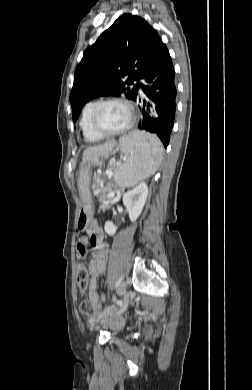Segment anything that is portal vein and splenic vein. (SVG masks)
<instances>
[{
  "label": "portal vein and splenic vein",
  "mask_w": 252,
  "mask_h": 390,
  "mask_svg": "<svg viewBox=\"0 0 252 390\" xmlns=\"http://www.w3.org/2000/svg\"><path fill=\"white\" fill-rule=\"evenodd\" d=\"M121 163V161L117 162V165H119ZM108 174H111L112 172L111 171H107ZM114 195V193H110L108 195V198L112 197Z\"/></svg>",
  "instance_id": "portal-vein-and-splenic-vein-1"
}]
</instances>
